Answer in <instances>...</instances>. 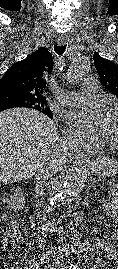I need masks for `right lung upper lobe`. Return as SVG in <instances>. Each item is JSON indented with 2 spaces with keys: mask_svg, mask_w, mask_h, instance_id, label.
Returning a JSON list of instances; mask_svg holds the SVG:
<instances>
[{
  "mask_svg": "<svg viewBox=\"0 0 118 269\" xmlns=\"http://www.w3.org/2000/svg\"><path fill=\"white\" fill-rule=\"evenodd\" d=\"M52 70V57L45 48L14 63L0 79V108L13 107L10 95H23L47 103V80L45 72ZM53 118L48 107L36 109Z\"/></svg>",
  "mask_w": 118,
  "mask_h": 269,
  "instance_id": "obj_1",
  "label": "right lung upper lobe"
}]
</instances>
